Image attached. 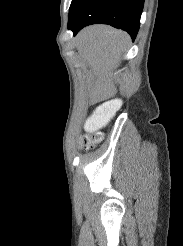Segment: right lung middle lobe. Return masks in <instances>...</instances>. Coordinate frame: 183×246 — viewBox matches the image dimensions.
Segmentation results:
<instances>
[{
    "label": "right lung middle lobe",
    "mask_w": 183,
    "mask_h": 246,
    "mask_svg": "<svg viewBox=\"0 0 183 246\" xmlns=\"http://www.w3.org/2000/svg\"><path fill=\"white\" fill-rule=\"evenodd\" d=\"M81 0H72L71 2V6H70V10H69V17L71 16V14L74 12V10L76 9V7L78 6V4L80 3Z\"/></svg>",
    "instance_id": "obj_1"
}]
</instances>
